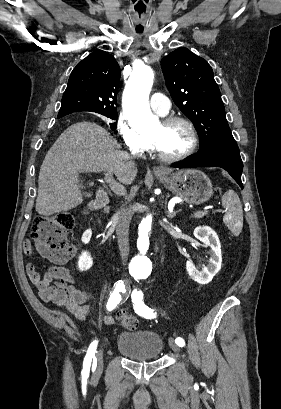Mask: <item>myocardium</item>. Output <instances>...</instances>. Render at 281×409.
<instances>
[{
  "mask_svg": "<svg viewBox=\"0 0 281 409\" xmlns=\"http://www.w3.org/2000/svg\"><path fill=\"white\" fill-rule=\"evenodd\" d=\"M161 125L163 126H168L172 123H181L186 127L188 130L189 136H190V141L188 147L180 154L177 155H166L162 153L154 144V142L145 137V143L146 147L148 150H150L156 157H158L160 160L168 163H173V162H179L182 161L186 158H188L190 155L194 153V151L197 148L198 145V134L197 131L193 125V123L187 119L186 117L183 116H178V115H171L167 116L161 119L160 121Z\"/></svg>",
  "mask_w": 281,
  "mask_h": 409,
  "instance_id": "myocardium-1",
  "label": "myocardium"
}]
</instances>
